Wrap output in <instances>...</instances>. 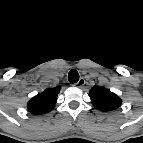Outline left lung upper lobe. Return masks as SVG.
Segmentation results:
<instances>
[{
    "label": "left lung upper lobe",
    "mask_w": 143,
    "mask_h": 143,
    "mask_svg": "<svg viewBox=\"0 0 143 143\" xmlns=\"http://www.w3.org/2000/svg\"><path fill=\"white\" fill-rule=\"evenodd\" d=\"M89 96L94 108L100 111H113L122 103L115 93L104 87L94 86L91 88Z\"/></svg>",
    "instance_id": "1"
}]
</instances>
